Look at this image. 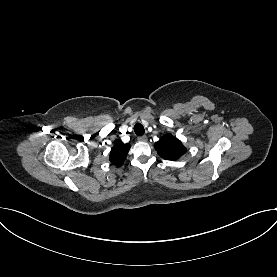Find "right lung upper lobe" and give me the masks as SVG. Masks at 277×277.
<instances>
[{
    "label": "right lung upper lobe",
    "mask_w": 277,
    "mask_h": 277,
    "mask_svg": "<svg viewBox=\"0 0 277 277\" xmlns=\"http://www.w3.org/2000/svg\"><path fill=\"white\" fill-rule=\"evenodd\" d=\"M129 149L130 145L128 143L124 144L121 141L115 142L114 147L111 149L110 152L111 163L116 165L117 167L121 166L126 159Z\"/></svg>",
    "instance_id": "right-lung-upper-lobe-1"
}]
</instances>
